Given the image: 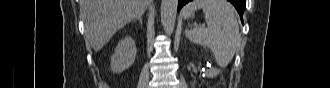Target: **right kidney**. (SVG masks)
I'll list each match as a JSON object with an SVG mask.
<instances>
[{
	"label": "right kidney",
	"mask_w": 330,
	"mask_h": 88,
	"mask_svg": "<svg viewBox=\"0 0 330 88\" xmlns=\"http://www.w3.org/2000/svg\"><path fill=\"white\" fill-rule=\"evenodd\" d=\"M136 53L135 41L131 36H126L120 40L111 57V71L119 73L128 69L134 63Z\"/></svg>",
	"instance_id": "right-kidney-1"
}]
</instances>
